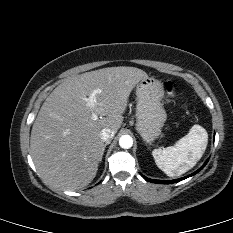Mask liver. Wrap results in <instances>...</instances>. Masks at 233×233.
I'll list each match as a JSON object with an SVG mask.
<instances>
[{
    "instance_id": "liver-1",
    "label": "liver",
    "mask_w": 233,
    "mask_h": 233,
    "mask_svg": "<svg viewBox=\"0 0 233 233\" xmlns=\"http://www.w3.org/2000/svg\"><path fill=\"white\" fill-rule=\"evenodd\" d=\"M148 75L135 67H108L66 78L43 103L32 127L30 152L49 185L78 190L95 178L104 151L101 131L119 130L133 88ZM98 91L95 107L83 97ZM101 116L92 119V114Z\"/></svg>"
}]
</instances>
